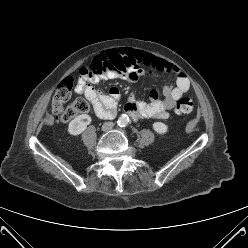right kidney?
<instances>
[{"mask_svg": "<svg viewBox=\"0 0 248 248\" xmlns=\"http://www.w3.org/2000/svg\"><path fill=\"white\" fill-rule=\"evenodd\" d=\"M90 123L91 117L87 114H81L69 123L68 133L71 135H79L86 130Z\"/></svg>", "mask_w": 248, "mask_h": 248, "instance_id": "right-kidney-1", "label": "right kidney"}]
</instances>
